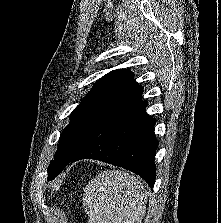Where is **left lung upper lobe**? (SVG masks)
I'll list each match as a JSON object with an SVG mask.
<instances>
[{
	"mask_svg": "<svg viewBox=\"0 0 221 223\" xmlns=\"http://www.w3.org/2000/svg\"><path fill=\"white\" fill-rule=\"evenodd\" d=\"M143 87L127 70H113L99 79L70 115L59 146L48 167V180L56 177L118 118L141 101Z\"/></svg>",
	"mask_w": 221,
	"mask_h": 223,
	"instance_id": "1",
	"label": "left lung upper lobe"
}]
</instances>
